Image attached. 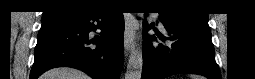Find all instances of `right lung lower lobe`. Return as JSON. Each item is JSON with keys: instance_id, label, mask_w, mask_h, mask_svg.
I'll return each instance as SVG.
<instances>
[{"instance_id": "right-lung-lower-lobe-1", "label": "right lung lower lobe", "mask_w": 255, "mask_h": 79, "mask_svg": "<svg viewBox=\"0 0 255 79\" xmlns=\"http://www.w3.org/2000/svg\"><path fill=\"white\" fill-rule=\"evenodd\" d=\"M96 29L102 31L100 35L88 37ZM123 35L121 12L92 10L42 22L30 79L60 66L80 69L94 79H118L123 63Z\"/></svg>"}]
</instances>
